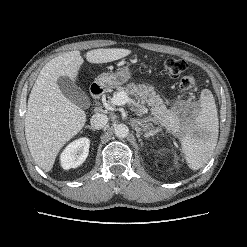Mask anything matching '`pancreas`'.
I'll list each match as a JSON object with an SVG mask.
<instances>
[{
  "mask_svg": "<svg viewBox=\"0 0 247 247\" xmlns=\"http://www.w3.org/2000/svg\"><path fill=\"white\" fill-rule=\"evenodd\" d=\"M118 92H125L127 95L134 96L142 106L148 105L151 113L154 115L155 122H160L167 128L174 126L172 112L166 108L160 96L156 95L153 87L129 83L125 86H119L117 88ZM109 103L112 104L111 100H109Z\"/></svg>",
  "mask_w": 247,
  "mask_h": 247,
  "instance_id": "cf45deb5",
  "label": "pancreas"
}]
</instances>
